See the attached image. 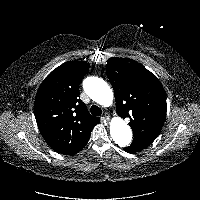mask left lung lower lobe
<instances>
[{
    "label": "left lung lower lobe",
    "mask_w": 200,
    "mask_h": 200,
    "mask_svg": "<svg viewBox=\"0 0 200 200\" xmlns=\"http://www.w3.org/2000/svg\"><path fill=\"white\" fill-rule=\"evenodd\" d=\"M124 150H125L126 152H128V153H135V152H137V151H140V150H138V149H136V148H134V147H132V146H128V147L124 148Z\"/></svg>",
    "instance_id": "1"
}]
</instances>
